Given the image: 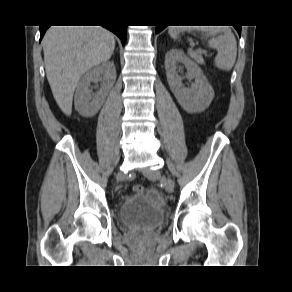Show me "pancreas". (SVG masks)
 I'll return each mask as SVG.
<instances>
[{
  "mask_svg": "<svg viewBox=\"0 0 292 292\" xmlns=\"http://www.w3.org/2000/svg\"><path fill=\"white\" fill-rule=\"evenodd\" d=\"M189 54L197 63L204 64V60L198 52L190 51Z\"/></svg>",
  "mask_w": 292,
  "mask_h": 292,
  "instance_id": "pancreas-1",
  "label": "pancreas"
}]
</instances>
